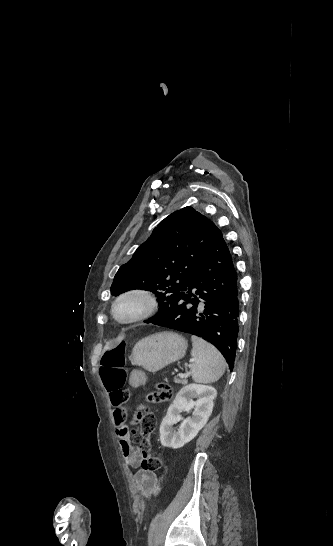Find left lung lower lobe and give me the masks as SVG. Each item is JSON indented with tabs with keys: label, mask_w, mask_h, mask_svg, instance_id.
Instances as JSON below:
<instances>
[{
	"label": "left lung lower lobe",
	"mask_w": 333,
	"mask_h": 546,
	"mask_svg": "<svg viewBox=\"0 0 333 546\" xmlns=\"http://www.w3.org/2000/svg\"><path fill=\"white\" fill-rule=\"evenodd\" d=\"M171 308L146 323L202 337L233 369L237 349L239 286L232 256L218 229L206 258L187 289L172 297Z\"/></svg>",
	"instance_id": "0a47b994"
}]
</instances>
